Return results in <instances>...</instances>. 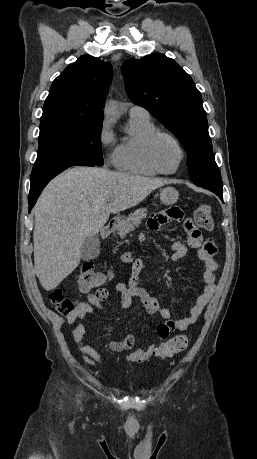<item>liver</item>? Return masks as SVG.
Here are the masks:
<instances>
[{
	"label": "liver",
	"mask_w": 257,
	"mask_h": 459,
	"mask_svg": "<svg viewBox=\"0 0 257 459\" xmlns=\"http://www.w3.org/2000/svg\"><path fill=\"white\" fill-rule=\"evenodd\" d=\"M168 183L98 167H74L53 179L33 210L34 266L42 287L55 289L77 268L84 241L111 213L136 206Z\"/></svg>",
	"instance_id": "liver-1"
}]
</instances>
